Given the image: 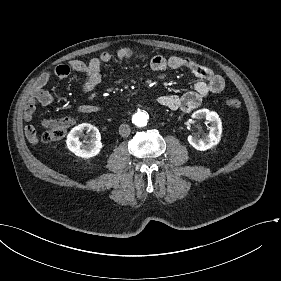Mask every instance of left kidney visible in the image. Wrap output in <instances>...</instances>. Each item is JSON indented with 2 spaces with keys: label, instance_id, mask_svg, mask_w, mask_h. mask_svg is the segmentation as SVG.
<instances>
[{
  "label": "left kidney",
  "instance_id": "obj_1",
  "mask_svg": "<svg viewBox=\"0 0 281 281\" xmlns=\"http://www.w3.org/2000/svg\"><path fill=\"white\" fill-rule=\"evenodd\" d=\"M192 117L196 120L204 119L211 125L205 139L196 140L192 136L188 137V142L197 151H207L219 144L222 133V123L219 115L215 111L200 109L193 113Z\"/></svg>",
  "mask_w": 281,
  "mask_h": 281
}]
</instances>
